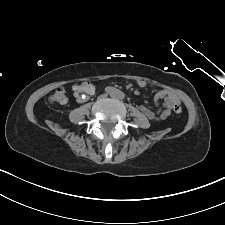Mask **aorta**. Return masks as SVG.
<instances>
[{
    "instance_id": "aorta-1",
    "label": "aorta",
    "mask_w": 225,
    "mask_h": 225,
    "mask_svg": "<svg viewBox=\"0 0 225 225\" xmlns=\"http://www.w3.org/2000/svg\"><path fill=\"white\" fill-rule=\"evenodd\" d=\"M114 96L116 98H123L124 95H123V93L121 91L116 90V92L114 93Z\"/></svg>"
}]
</instances>
